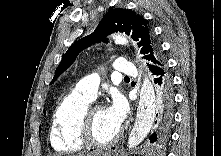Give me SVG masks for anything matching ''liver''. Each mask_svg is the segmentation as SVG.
Here are the masks:
<instances>
[{"instance_id":"6515ba94","label":"liver","mask_w":221,"mask_h":156,"mask_svg":"<svg viewBox=\"0 0 221 156\" xmlns=\"http://www.w3.org/2000/svg\"><path fill=\"white\" fill-rule=\"evenodd\" d=\"M97 155H100V154H97V153H90V154H84V153H80L76 156H97Z\"/></svg>"}]
</instances>
